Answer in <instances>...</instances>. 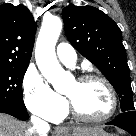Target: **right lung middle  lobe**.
Masks as SVG:
<instances>
[{
	"mask_svg": "<svg viewBox=\"0 0 136 136\" xmlns=\"http://www.w3.org/2000/svg\"><path fill=\"white\" fill-rule=\"evenodd\" d=\"M26 66H0V108L10 107L26 110L22 96V82Z\"/></svg>",
	"mask_w": 136,
	"mask_h": 136,
	"instance_id": "obj_1",
	"label": "right lung middle lobe"
}]
</instances>
